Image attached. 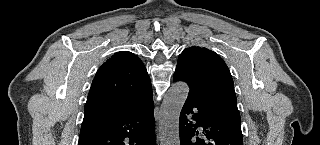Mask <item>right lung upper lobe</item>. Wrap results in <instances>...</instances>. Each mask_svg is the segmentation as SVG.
I'll list each match as a JSON object with an SVG mask.
<instances>
[{
    "mask_svg": "<svg viewBox=\"0 0 320 145\" xmlns=\"http://www.w3.org/2000/svg\"><path fill=\"white\" fill-rule=\"evenodd\" d=\"M152 94L147 70L136 55L120 51L97 71L84 107L83 123L125 114Z\"/></svg>",
    "mask_w": 320,
    "mask_h": 145,
    "instance_id": "obj_1",
    "label": "right lung upper lobe"
}]
</instances>
